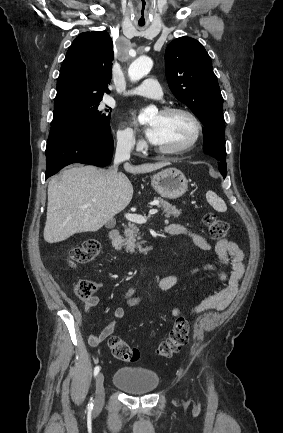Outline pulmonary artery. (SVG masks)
Masks as SVG:
<instances>
[{
  "instance_id": "1",
  "label": "pulmonary artery",
  "mask_w": 283,
  "mask_h": 433,
  "mask_svg": "<svg viewBox=\"0 0 283 433\" xmlns=\"http://www.w3.org/2000/svg\"><path fill=\"white\" fill-rule=\"evenodd\" d=\"M125 95H140L149 98H161L162 91L160 90V85L155 78H148L138 85H133Z\"/></svg>"
}]
</instances>
